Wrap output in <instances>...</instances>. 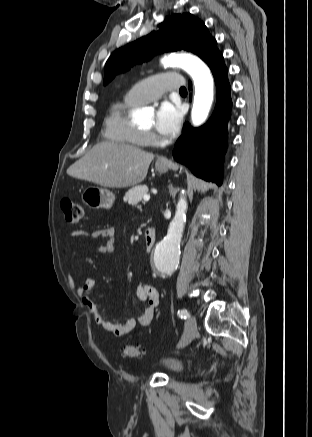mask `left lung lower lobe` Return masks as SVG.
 <instances>
[{
    "label": "left lung lower lobe",
    "mask_w": 312,
    "mask_h": 437,
    "mask_svg": "<svg viewBox=\"0 0 312 437\" xmlns=\"http://www.w3.org/2000/svg\"><path fill=\"white\" fill-rule=\"evenodd\" d=\"M217 90L216 107L210 120L200 128L185 124L176 142L173 156L185 164L194 175L206 181L222 184L223 156L226 150L227 124L232 100L228 70L220 52L209 61Z\"/></svg>",
    "instance_id": "left-lung-lower-lobe-1"
}]
</instances>
